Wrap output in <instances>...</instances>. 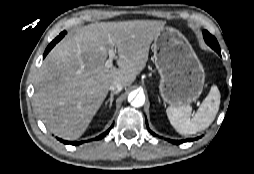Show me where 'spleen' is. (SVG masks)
Returning <instances> with one entry per match:
<instances>
[{
    "label": "spleen",
    "mask_w": 254,
    "mask_h": 174,
    "mask_svg": "<svg viewBox=\"0 0 254 174\" xmlns=\"http://www.w3.org/2000/svg\"><path fill=\"white\" fill-rule=\"evenodd\" d=\"M220 105V92L213 85L195 115L191 118L189 105L168 107L166 112L174 129L182 135H190L208 128L214 121Z\"/></svg>",
    "instance_id": "obj_1"
}]
</instances>
